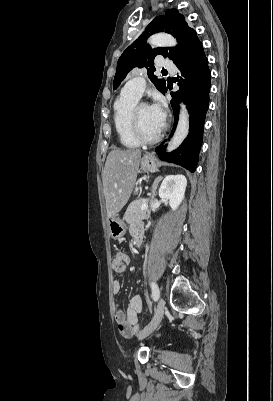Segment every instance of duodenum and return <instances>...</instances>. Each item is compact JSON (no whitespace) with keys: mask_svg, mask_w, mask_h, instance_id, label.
<instances>
[{"mask_svg":"<svg viewBox=\"0 0 273 401\" xmlns=\"http://www.w3.org/2000/svg\"><path fill=\"white\" fill-rule=\"evenodd\" d=\"M141 242H142V238H141V237H137V238L135 239V244H136L137 246H139V245L141 244Z\"/></svg>","mask_w":273,"mask_h":401,"instance_id":"obj_1","label":"duodenum"}]
</instances>
